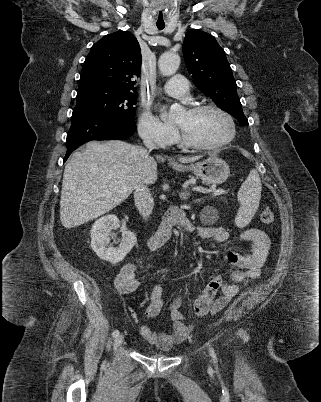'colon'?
I'll return each instance as SVG.
<instances>
[{"instance_id":"obj_1","label":"colon","mask_w":321,"mask_h":402,"mask_svg":"<svg viewBox=\"0 0 321 402\" xmlns=\"http://www.w3.org/2000/svg\"><path fill=\"white\" fill-rule=\"evenodd\" d=\"M261 222L264 224H271L274 220V213L273 210L270 207H265L260 215ZM212 299H206L201 301L197 306H196V313L197 314H205L208 312L210 305H211ZM134 315V313H132Z\"/></svg>"}]
</instances>
